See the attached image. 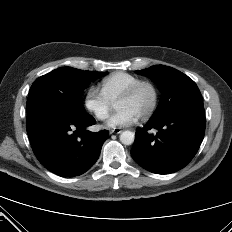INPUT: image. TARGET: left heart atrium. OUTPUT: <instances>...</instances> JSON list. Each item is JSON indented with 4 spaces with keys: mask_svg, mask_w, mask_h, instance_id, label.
I'll return each mask as SVG.
<instances>
[{
    "mask_svg": "<svg viewBox=\"0 0 232 232\" xmlns=\"http://www.w3.org/2000/svg\"><path fill=\"white\" fill-rule=\"evenodd\" d=\"M139 116L132 111L121 108L118 109L107 121L108 128H121L132 125L138 120Z\"/></svg>",
    "mask_w": 232,
    "mask_h": 232,
    "instance_id": "left-heart-atrium-1",
    "label": "left heart atrium"
}]
</instances>
